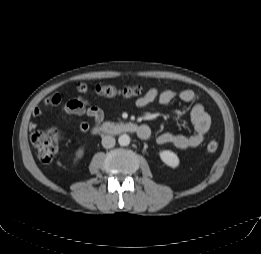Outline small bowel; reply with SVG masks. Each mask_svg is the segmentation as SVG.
Masks as SVG:
<instances>
[{
  "instance_id": "obj_1",
  "label": "small bowel",
  "mask_w": 261,
  "mask_h": 254,
  "mask_svg": "<svg viewBox=\"0 0 261 254\" xmlns=\"http://www.w3.org/2000/svg\"><path fill=\"white\" fill-rule=\"evenodd\" d=\"M156 100H158L163 105H169L177 100L186 104H190V117L195 130V133L191 135L174 134L170 132L162 133L156 138V143L158 145L169 144L175 148L185 150L196 148L204 142L205 136L211 126V120L204 106L197 101V95L194 91L190 89H166L161 91L157 88H150L145 92L144 95L135 101V105L139 108H142ZM59 102L60 97L58 95H52L45 100V104L49 105H57ZM61 110L67 114L92 118L96 126L100 125L104 120V114L102 110L81 97L69 98ZM32 115L34 118H38L42 115V110L40 108H35ZM141 127L142 131L138 133V136L141 139L150 138V127L148 125H141ZM35 128L36 123L31 122L30 129ZM89 128L90 125L87 121L83 120L80 122V132L86 133L88 132Z\"/></svg>"
}]
</instances>
